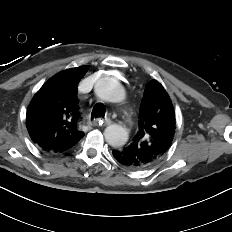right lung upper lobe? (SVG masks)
<instances>
[{
    "instance_id": "obj_1",
    "label": "right lung upper lobe",
    "mask_w": 232,
    "mask_h": 232,
    "mask_svg": "<svg viewBox=\"0 0 232 232\" xmlns=\"http://www.w3.org/2000/svg\"><path fill=\"white\" fill-rule=\"evenodd\" d=\"M87 66L67 69L50 78L35 94L26 113L31 140L47 153H63L83 137L79 130L77 85Z\"/></svg>"
}]
</instances>
